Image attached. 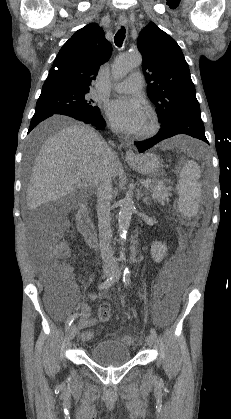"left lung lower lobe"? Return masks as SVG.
<instances>
[{
	"label": "left lung lower lobe",
	"mask_w": 231,
	"mask_h": 419,
	"mask_svg": "<svg viewBox=\"0 0 231 419\" xmlns=\"http://www.w3.org/2000/svg\"><path fill=\"white\" fill-rule=\"evenodd\" d=\"M178 134H186L209 144L205 136L201 116L199 114H186L170 125L161 127L159 133L154 137L143 142H135V145L139 152H143L158 142Z\"/></svg>",
	"instance_id": "obj_1"
}]
</instances>
